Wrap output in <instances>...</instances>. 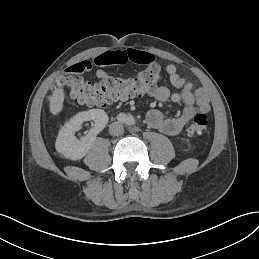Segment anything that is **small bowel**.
Returning <instances> with one entry per match:
<instances>
[{
    "label": "small bowel",
    "instance_id": "obj_1",
    "mask_svg": "<svg viewBox=\"0 0 259 259\" xmlns=\"http://www.w3.org/2000/svg\"><path fill=\"white\" fill-rule=\"evenodd\" d=\"M129 62L137 64H152L154 56L151 53L135 49L107 51L93 57L90 60H83L74 63L68 68L72 73H84L94 66L105 67L109 65H122ZM166 73L170 83L178 89L171 92L165 86L157 87L151 94L158 101L171 100L175 103H183V112L176 117H166L160 110L151 109L146 116L150 127L161 131L166 135H176L180 133L187 123L198 114H207L210 110L209 94L203 88H196L191 82L178 74L177 68L173 64L166 66ZM99 79H106L109 74L104 69H97L95 72Z\"/></svg>",
    "mask_w": 259,
    "mask_h": 259
}]
</instances>
